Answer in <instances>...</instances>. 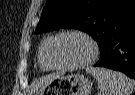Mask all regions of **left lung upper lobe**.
I'll return each instance as SVG.
<instances>
[{
    "label": "left lung upper lobe",
    "instance_id": "5c2ea615",
    "mask_svg": "<svg viewBox=\"0 0 135 95\" xmlns=\"http://www.w3.org/2000/svg\"><path fill=\"white\" fill-rule=\"evenodd\" d=\"M135 17V0H48L35 33L60 28L87 32L98 43Z\"/></svg>",
    "mask_w": 135,
    "mask_h": 95
}]
</instances>
